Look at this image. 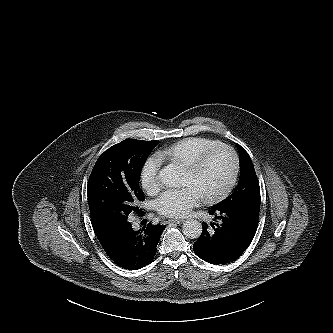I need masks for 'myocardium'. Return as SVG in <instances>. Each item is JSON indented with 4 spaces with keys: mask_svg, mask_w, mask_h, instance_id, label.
<instances>
[{
    "mask_svg": "<svg viewBox=\"0 0 333 333\" xmlns=\"http://www.w3.org/2000/svg\"><path fill=\"white\" fill-rule=\"evenodd\" d=\"M220 149H227L229 150L234 158V169L232 172L231 177L229 178V180L227 181V183L217 192H215L214 194H211L209 196H206L204 198V201L206 203H215L218 202L222 199H224L234 188L239 174H240V169H241V161H240V156L238 154V152L236 151V149L227 144V143H223L220 142L218 144H215L207 149H205L204 151H202L200 154H198L190 163H188L187 165H185L183 168L184 170H186L189 173H196L198 172L203 165L206 163V161L208 160V158L217 150Z\"/></svg>",
    "mask_w": 333,
    "mask_h": 333,
    "instance_id": "1",
    "label": "myocardium"
}]
</instances>
